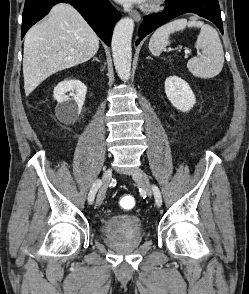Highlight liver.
Listing matches in <instances>:
<instances>
[{
  "mask_svg": "<svg viewBox=\"0 0 249 294\" xmlns=\"http://www.w3.org/2000/svg\"><path fill=\"white\" fill-rule=\"evenodd\" d=\"M99 38L71 5H55L48 17L25 35L23 54L26 96L52 74L91 59Z\"/></svg>",
  "mask_w": 249,
  "mask_h": 294,
  "instance_id": "obj_1",
  "label": "liver"
}]
</instances>
